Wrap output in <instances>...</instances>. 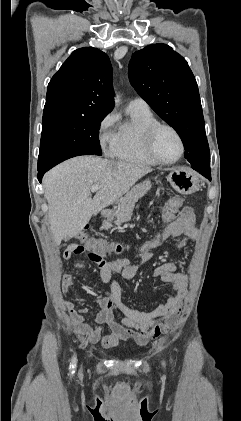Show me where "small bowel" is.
<instances>
[{
    "label": "small bowel",
    "mask_w": 241,
    "mask_h": 421,
    "mask_svg": "<svg viewBox=\"0 0 241 421\" xmlns=\"http://www.w3.org/2000/svg\"><path fill=\"white\" fill-rule=\"evenodd\" d=\"M198 230L195 225L194 211L186 207L181 214L165 229V238H171L178 249L186 246L187 242L197 237ZM70 247L64 251V259L74 268L83 269L84 263H72ZM151 258V252H142L136 263H131L126 258H117L99 266L100 278L103 283L110 284V290L98 296L96 301L100 311L94 318L95 325L87 323L85 315L88 308L76 310L72 301H65L69 321L73 329L86 336L90 343H101L106 348L116 346L121 341H133L143 346L149 339L165 334L174 326L180 314L183 299L187 290V276L176 271L173 262H165L154 270V276L172 288V293L164 304L157 306L150 312L140 311L125 305L122 301V289L115 278L121 274L124 278L136 275L141 265ZM75 284L71 275H66L61 282V292L66 294ZM116 313L121 314L120 321L116 320ZM106 324L111 334L102 336V325Z\"/></svg>",
    "instance_id": "small-bowel-1"
}]
</instances>
